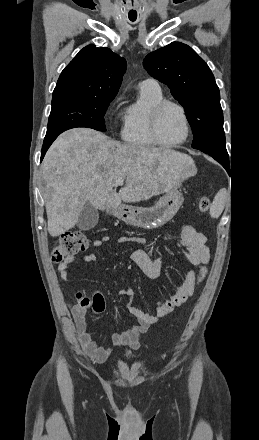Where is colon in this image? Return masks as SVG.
I'll list each match as a JSON object with an SVG mask.
<instances>
[{"instance_id":"obj_1","label":"colon","mask_w":259,"mask_h":440,"mask_svg":"<svg viewBox=\"0 0 259 440\" xmlns=\"http://www.w3.org/2000/svg\"><path fill=\"white\" fill-rule=\"evenodd\" d=\"M199 210L205 213L210 208V199L207 196H202L199 199ZM89 246L88 237L80 231H68L63 233L55 247L52 250L51 258L54 262H61L68 257H73L80 252L85 251ZM95 300L93 298L92 304ZM91 304V300L81 293L76 295V301L73 305L74 313L77 311L85 310Z\"/></svg>"}]
</instances>
